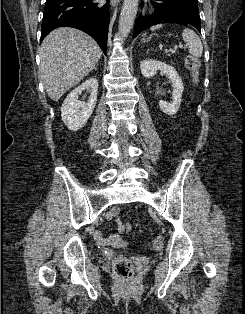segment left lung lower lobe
<instances>
[{
  "instance_id": "0a47b994",
  "label": "left lung lower lobe",
  "mask_w": 245,
  "mask_h": 314,
  "mask_svg": "<svg viewBox=\"0 0 245 314\" xmlns=\"http://www.w3.org/2000/svg\"><path fill=\"white\" fill-rule=\"evenodd\" d=\"M151 3L155 7V13L146 17L141 15L136 20L134 37L149 26L169 22L188 23L201 32V21L197 9L185 5L177 6L170 0H151Z\"/></svg>"
}]
</instances>
